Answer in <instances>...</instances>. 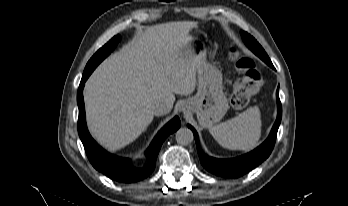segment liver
Segmentation results:
<instances>
[{"label": "liver", "mask_w": 348, "mask_h": 206, "mask_svg": "<svg viewBox=\"0 0 348 206\" xmlns=\"http://www.w3.org/2000/svg\"><path fill=\"white\" fill-rule=\"evenodd\" d=\"M195 22H168L140 31L107 57L85 84L88 129L114 152L133 142L154 118L153 109L173 108L175 94L190 95L199 58L189 46Z\"/></svg>", "instance_id": "liver-1"}]
</instances>
